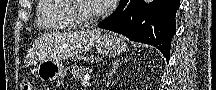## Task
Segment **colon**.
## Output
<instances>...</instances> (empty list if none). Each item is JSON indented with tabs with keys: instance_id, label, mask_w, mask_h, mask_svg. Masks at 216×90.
Returning <instances> with one entry per match:
<instances>
[{
	"instance_id": "1",
	"label": "colon",
	"mask_w": 216,
	"mask_h": 90,
	"mask_svg": "<svg viewBox=\"0 0 216 90\" xmlns=\"http://www.w3.org/2000/svg\"><path fill=\"white\" fill-rule=\"evenodd\" d=\"M23 90H37V87L34 83L32 82H26L23 85Z\"/></svg>"
}]
</instances>
